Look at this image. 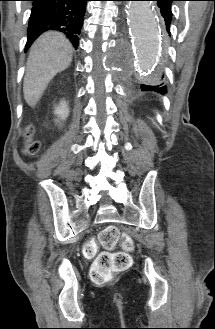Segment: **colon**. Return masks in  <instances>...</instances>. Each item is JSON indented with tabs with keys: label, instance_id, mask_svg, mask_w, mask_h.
Here are the masks:
<instances>
[{
	"label": "colon",
	"instance_id": "colon-1",
	"mask_svg": "<svg viewBox=\"0 0 215 329\" xmlns=\"http://www.w3.org/2000/svg\"><path fill=\"white\" fill-rule=\"evenodd\" d=\"M40 149V143L31 138V127H28L27 140L24 147L26 155L34 156ZM121 241L124 251L110 253L102 252L94 260L91 269V280L96 284H103L112 279L119 272H122L130 267L132 258L130 251L133 243L130 237H121L119 230L115 226H107L99 234V242L106 249L114 248ZM96 244L90 242L85 245L83 252L87 256H92L95 253Z\"/></svg>",
	"mask_w": 215,
	"mask_h": 329
}]
</instances>
